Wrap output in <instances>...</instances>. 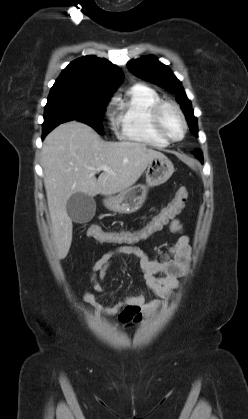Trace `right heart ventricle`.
<instances>
[{
  "label": "right heart ventricle",
  "instance_id": "e07e8e85",
  "mask_svg": "<svg viewBox=\"0 0 248 419\" xmlns=\"http://www.w3.org/2000/svg\"><path fill=\"white\" fill-rule=\"evenodd\" d=\"M152 88L135 84L115 100L114 123L121 139L143 143L153 147H165L168 143L153 130L150 110L160 101Z\"/></svg>",
  "mask_w": 248,
  "mask_h": 419
}]
</instances>
